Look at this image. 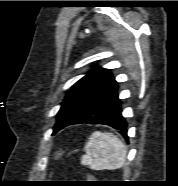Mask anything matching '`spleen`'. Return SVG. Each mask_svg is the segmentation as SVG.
Masks as SVG:
<instances>
[{"instance_id":"spleen-1","label":"spleen","mask_w":178,"mask_h":186,"mask_svg":"<svg viewBox=\"0 0 178 186\" xmlns=\"http://www.w3.org/2000/svg\"><path fill=\"white\" fill-rule=\"evenodd\" d=\"M83 165L93 170H114L123 167L126 159V145L114 134L94 132L84 147Z\"/></svg>"}]
</instances>
